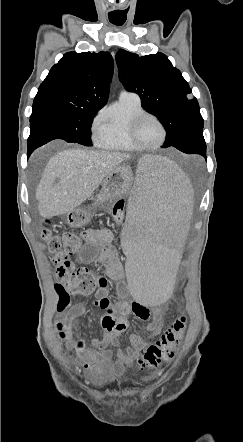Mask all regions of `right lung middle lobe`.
<instances>
[{
  "mask_svg": "<svg viewBox=\"0 0 243 442\" xmlns=\"http://www.w3.org/2000/svg\"><path fill=\"white\" fill-rule=\"evenodd\" d=\"M30 130L59 135V139L92 146L90 128L99 109L82 108L61 98H35Z\"/></svg>",
  "mask_w": 243,
  "mask_h": 442,
  "instance_id": "right-lung-middle-lobe-1",
  "label": "right lung middle lobe"
}]
</instances>
